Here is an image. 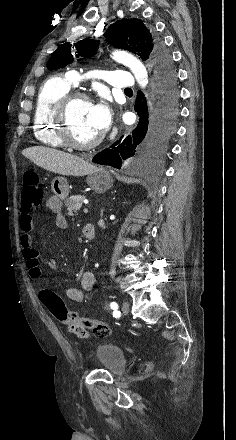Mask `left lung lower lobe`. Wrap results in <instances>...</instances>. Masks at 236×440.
<instances>
[{
    "label": "left lung lower lobe",
    "instance_id": "0a47b994",
    "mask_svg": "<svg viewBox=\"0 0 236 440\" xmlns=\"http://www.w3.org/2000/svg\"><path fill=\"white\" fill-rule=\"evenodd\" d=\"M154 93L151 106L139 92L134 109L139 116L136 128L128 136H121L110 148L93 157V162L120 169L124 160L148 150H161L175 132L178 117V90L176 75L170 64L155 62L153 65Z\"/></svg>",
    "mask_w": 236,
    "mask_h": 440
}]
</instances>
